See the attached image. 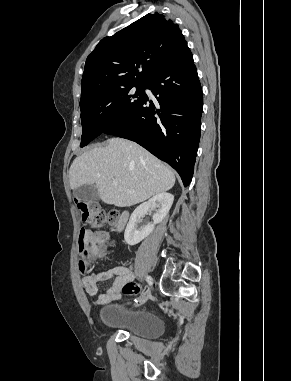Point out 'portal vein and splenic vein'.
<instances>
[{"instance_id":"18ae733b","label":"portal vein and splenic vein","mask_w":291,"mask_h":381,"mask_svg":"<svg viewBox=\"0 0 291 381\" xmlns=\"http://www.w3.org/2000/svg\"><path fill=\"white\" fill-rule=\"evenodd\" d=\"M112 183H113V185H115V186L118 185V181H117V180H113Z\"/></svg>"}]
</instances>
